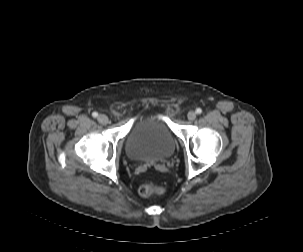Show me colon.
Wrapping results in <instances>:
<instances>
[{
  "instance_id": "obj_1",
  "label": "colon",
  "mask_w": 303,
  "mask_h": 252,
  "mask_svg": "<svg viewBox=\"0 0 303 252\" xmlns=\"http://www.w3.org/2000/svg\"><path fill=\"white\" fill-rule=\"evenodd\" d=\"M139 191L142 196L151 197V196L163 195L166 189L162 185H157L152 182H148L142 184Z\"/></svg>"
}]
</instances>
